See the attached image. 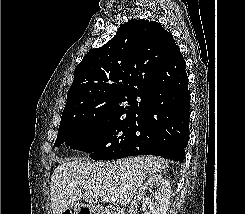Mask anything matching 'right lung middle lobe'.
Here are the masks:
<instances>
[{"instance_id":"right-lung-middle-lobe-1","label":"right lung middle lobe","mask_w":245,"mask_h":214,"mask_svg":"<svg viewBox=\"0 0 245 214\" xmlns=\"http://www.w3.org/2000/svg\"><path fill=\"white\" fill-rule=\"evenodd\" d=\"M99 117L93 114L62 115L55 146L66 143L72 149L91 154L94 160H111L127 143L128 129L135 109Z\"/></svg>"}]
</instances>
